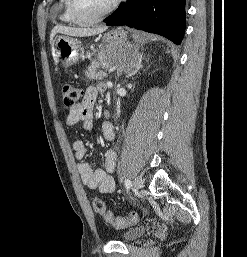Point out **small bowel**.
I'll return each mask as SVG.
<instances>
[{"label":"small bowel","instance_id":"1","mask_svg":"<svg viewBox=\"0 0 247 257\" xmlns=\"http://www.w3.org/2000/svg\"><path fill=\"white\" fill-rule=\"evenodd\" d=\"M106 90L105 84L90 86L85 90L83 99L75 106L71 107L66 116V125L74 126L80 124L84 130H91L93 127V108L99 92ZM102 136L105 140L111 141L115 137V128L113 124L105 120L101 124ZM75 157L78 160L77 170L80 174L83 184L92 190H98L103 194H111L115 191V182L111 176L116 166L117 154L113 149L105 152L104 167L94 170L84 159L87 156L88 149L82 140H76L73 143Z\"/></svg>","mask_w":247,"mask_h":257}]
</instances>
